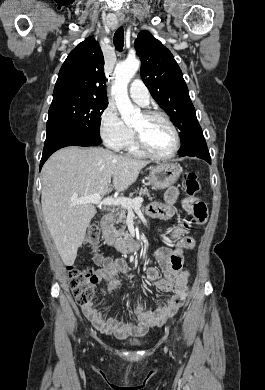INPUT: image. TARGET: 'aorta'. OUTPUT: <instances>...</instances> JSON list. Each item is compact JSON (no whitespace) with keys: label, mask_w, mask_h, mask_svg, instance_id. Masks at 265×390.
Wrapping results in <instances>:
<instances>
[{"label":"aorta","mask_w":265,"mask_h":390,"mask_svg":"<svg viewBox=\"0 0 265 390\" xmlns=\"http://www.w3.org/2000/svg\"><path fill=\"white\" fill-rule=\"evenodd\" d=\"M140 67L138 59H127L118 63L115 67V81L111 88V93L115 99L116 106L121 118L129 125L136 122L141 112L138 107L133 106L128 96V84Z\"/></svg>","instance_id":"aorta-1"}]
</instances>
